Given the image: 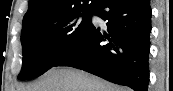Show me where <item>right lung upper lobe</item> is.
<instances>
[{"label": "right lung upper lobe", "instance_id": "obj_1", "mask_svg": "<svg viewBox=\"0 0 173 91\" xmlns=\"http://www.w3.org/2000/svg\"><path fill=\"white\" fill-rule=\"evenodd\" d=\"M29 0V8L23 18V28L59 18L89 7L95 8L98 0Z\"/></svg>", "mask_w": 173, "mask_h": 91}]
</instances>
